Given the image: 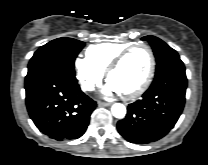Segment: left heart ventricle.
Returning <instances> with one entry per match:
<instances>
[{"mask_svg":"<svg viewBox=\"0 0 208 165\" xmlns=\"http://www.w3.org/2000/svg\"><path fill=\"white\" fill-rule=\"evenodd\" d=\"M149 65L148 51L143 47H138L131 51L121 65L111 73L109 82L121 94L131 92L142 84Z\"/></svg>","mask_w":208,"mask_h":165,"instance_id":"obj_1","label":"left heart ventricle"}]
</instances>
